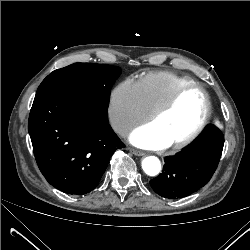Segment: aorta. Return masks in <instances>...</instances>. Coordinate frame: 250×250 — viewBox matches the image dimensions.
Listing matches in <instances>:
<instances>
[{
    "label": "aorta",
    "mask_w": 250,
    "mask_h": 250,
    "mask_svg": "<svg viewBox=\"0 0 250 250\" xmlns=\"http://www.w3.org/2000/svg\"><path fill=\"white\" fill-rule=\"evenodd\" d=\"M142 168L149 176H156L161 170L160 160L155 156L145 157L142 161Z\"/></svg>",
    "instance_id": "1"
}]
</instances>
